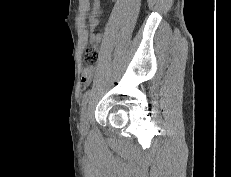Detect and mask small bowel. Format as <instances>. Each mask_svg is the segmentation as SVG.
Returning a JSON list of instances; mask_svg holds the SVG:
<instances>
[{
    "mask_svg": "<svg viewBox=\"0 0 231 177\" xmlns=\"http://www.w3.org/2000/svg\"><path fill=\"white\" fill-rule=\"evenodd\" d=\"M100 4H101V0H93L92 2V9L88 21V25L91 30H94L100 23V18H99V15L101 13ZM93 39L95 42L100 43L102 41V36L100 34H97L93 36ZM93 75H94L93 69L84 70L81 78L83 84H88L92 80Z\"/></svg>",
    "mask_w": 231,
    "mask_h": 177,
    "instance_id": "obj_1",
    "label": "small bowel"
}]
</instances>
